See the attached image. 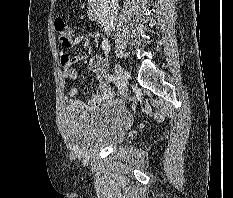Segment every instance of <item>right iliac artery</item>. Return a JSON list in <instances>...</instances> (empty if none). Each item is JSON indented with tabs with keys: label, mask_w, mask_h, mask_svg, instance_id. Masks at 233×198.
Segmentation results:
<instances>
[{
	"label": "right iliac artery",
	"mask_w": 233,
	"mask_h": 198,
	"mask_svg": "<svg viewBox=\"0 0 233 198\" xmlns=\"http://www.w3.org/2000/svg\"><path fill=\"white\" fill-rule=\"evenodd\" d=\"M108 79H109L110 81H112V82H115L117 78H116L115 75H112V74H111V75L108 76Z\"/></svg>",
	"instance_id": "obj_1"
}]
</instances>
